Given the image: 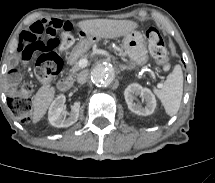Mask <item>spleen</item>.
Masks as SVG:
<instances>
[{"instance_id": "obj_1", "label": "spleen", "mask_w": 215, "mask_h": 183, "mask_svg": "<svg viewBox=\"0 0 215 183\" xmlns=\"http://www.w3.org/2000/svg\"><path fill=\"white\" fill-rule=\"evenodd\" d=\"M155 95L160 99L169 116L175 115L180 107L183 94V73L180 65H176L167 76L161 89L155 88Z\"/></svg>"}]
</instances>
